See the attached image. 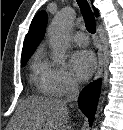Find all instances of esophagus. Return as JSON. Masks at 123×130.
<instances>
[{
	"instance_id": "1",
	"label": "esophagus",
	"mask_w": 123,
	"mask_h": 130,
	"mask_svg": "<svg viewBox=\"0 0 123 130\" xmlns=\"http://www.w3.org/2000/svg\"><path fill=\"white\" fill-rule=\"evenodd\" d=\"M103 64H104L103 52H102V47H100L99 53H98L97 71L95 73L94 80H97V79H99L101 77L102 72H103Z\"/></svg>"
}]
</instances>
